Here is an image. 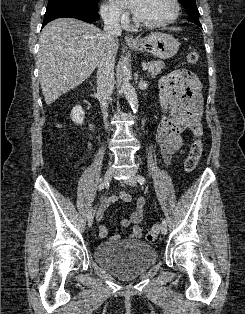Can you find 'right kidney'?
Listing matches in <instances>:
<instances>
[{
    "label": "right kidney",
    "mask_w": 245,
    "mask_h": 314,
    "mask_svg": "<svg viewBox=\"0 0 245 314\" xmlns=\"http://www.w3.org/2000/svg\"><path fill=\"white\" fill-rule=\"evenodd\" d=\"M70 116L73 122L82 125L84 122L85 113L80 105H76L73 107Z\"/></svg>",
    "instance_id": "ca27d5eb"
}]
</instances>
